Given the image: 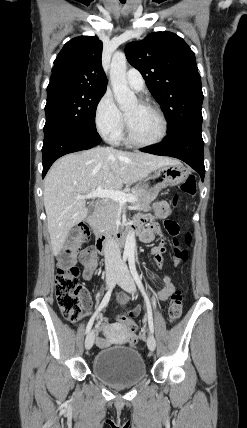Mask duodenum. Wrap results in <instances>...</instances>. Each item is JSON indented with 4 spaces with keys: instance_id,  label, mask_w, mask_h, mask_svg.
<instances>
[{
    "instance_id": "duodenum-1",
    "label": "duodenum",
    "mask_w": 247,
    "mask_h": 428,
    "mask_svg": "<svg viewBox=\"0 0 247 428\" xmlns=\"http://www.w3.org/2000/svg\"><path fill=\"white\" fill-rule=\"evenodd\" d=\"M102 204L103 202L101 200L96 201V209H99ZM92 221L93 217H90L89 222ZM143 229L144 223L138 218L133 219L127 224H121L112 233L100 234L98 236L96 243L97 250L100 253H105L114 248L121 247L128 232L140 235Z\"/></svg>"
}]
</instances>
